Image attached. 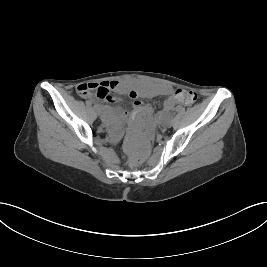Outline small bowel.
I'll list each match as a JSON object with an SVG mask.
<instances>
[{"mask_svg": "<svg viewBox=\"0 0 267 267\" xmlns=\"http://www.w3.org/2000/svg\"><path fill=\"white\" fill-rule=\"evenodd\" d=\"M105 86L112 87L113 89L119 90L121 93H129L130 97L134 100L133 106L137 111H145L147 114L152 112V108L148 105H144L143 102L140 100L141 97H155V96H167L166 100L164 101V110L169 111L173 109L175 106L176 95L174 89L168 85L162 84H154L149 82H141V81H134V82H123L118 83L115 81H106L103 82ZM88 85L89 83L81 84L77 87V93L80 95V88L84 85ZM93 84V83H91ZM82 97V96H81ZM90 99L97 103L98 107L106 109L103 104L104 100L101 98H97L95 96L92 97H83ZM126 115H130L126 113ZM161 118V113L157 114V119Z\"/></svg>", "mask_w": 267, "mask_h": 267, "instance_id": "small-bowel-1", "label": "small bowel"}]
</instances>
